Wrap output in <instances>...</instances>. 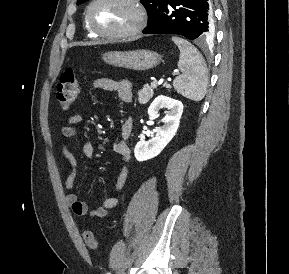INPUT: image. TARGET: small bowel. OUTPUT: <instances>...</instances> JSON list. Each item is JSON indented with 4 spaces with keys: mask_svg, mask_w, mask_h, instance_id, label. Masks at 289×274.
Returning <instances> with one entry per match:
<instances>
[{
    "mask_svg": "<svg viewBox=\"0 0 289 274\" xmlns=\"http://www.w3.org/2000/svg\"><path fill=\"white\" fill-rule=\"evenodd\" d=\"M93 86L96 89H101L105 91L116 92L119 99L124 103H130L133 99L132 85L127 80H115L111 78H99L93 82ZM82 120L81 115L74 114L70 116L66 123L61 128V133L66 139H72L76 136L77 130L76 125ZM132 130V120L130 118L126 119L121 125L120 138L114 143L113 150L118 154L124 162L130 160V147L128 145V137L130 136ZM81 152L86 158H92L94 156V146L90 142H84L81 146ZM62 154L68 161L71 171L66 179V202L71 207L73 213L76 216H85L89 214L91 217L103 218L106 217L109 211L115 208L119 202L120 198L118 196H111L106 198L102 204L92 210L85 201L78 198L75 192H73L75 179L77 176L78 162L71 150V145L68 143L63 144ZM128 176V168L123 166L119 172L117 181L114 186V191L118 193L124 187Z\"/></svg>",
    "mask_w": 289,
    "mask_h": 274,
    "instance_id": "small-bowel-1",
    "label": "small bowel"
}]
</instances>
